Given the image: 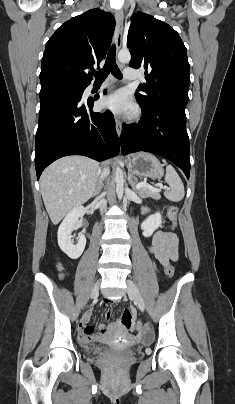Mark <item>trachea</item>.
<instances>
[{
  "label": "trachea",
  "mask_w": 235,
  "mask_h": 404,
  "mask_svg": "<svg viewBox=\"0 0 235 404\" xmlns=\"http://www.w3.org/2000/svg\"><path fill=\"white\" fill-rule=\"evenodd\" d=\"M115 55L116 47L115 45H112L108 52L104 67L98 72H93L96 81H104L110 72L117 79H122V74L116 64Z\"/></svg>",
  "instance_id": "trachea-1"
}]
</instances>
